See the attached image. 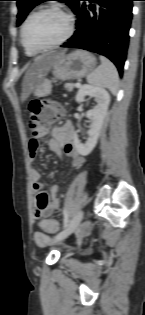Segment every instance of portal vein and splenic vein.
Segmentation results:
<instances>
[{
    "label": "portal vein and splenic vein",
    "instance_id": "obj_1",
    "mask_svg": "<svg viewBox=\"0 0 145 315\" xmlns=\"http://www.w3.org/2000/svg\"><path fill=\"white\" fill-rule=\"evenodd\" d=\"M80 86H81L80 83H76V84H75V87H77V88L80 87Z\"/></svg>",
    "mask_w": 145,
    "mask_h": 315
}]
</instances>
